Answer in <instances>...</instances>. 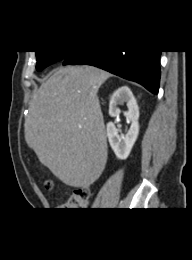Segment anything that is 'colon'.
<instances>
[{
  "label": "colon",
  "instance_id": "1",
  "mask_svg": "<svg viewBox=\"0 0 192 260\" xmlns=\"http://www.w3.org/2000/svg\"><path fill=\"white\" fill-rule=\"evenodd\" d=\"M47 189L53 187L51 181L45 183ZM90 198V191L87 188H79L74 191V193L69 197V199L62 204V210H76L83 208L87 205Z\"/></svg>",
  "mask_w": 192,
  "mask_h": 260
}]
</instances>
